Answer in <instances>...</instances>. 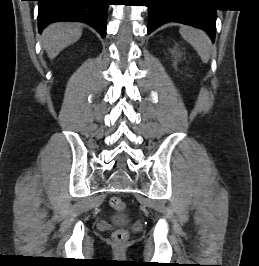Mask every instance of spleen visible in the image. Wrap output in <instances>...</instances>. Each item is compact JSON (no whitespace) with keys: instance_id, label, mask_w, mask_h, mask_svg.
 <instances>
[{"instance_id":"obj_1","label":"spleen","mask_w":259,"mask_h":266,"mask_svg":"<svg viewBox=\"0 0 259 266\" xmlns=\"http://www.w3.org/2000/svg\"><path fill=\"white\" fill-rule=\"evenodd\" d=\"M180 34L197 51L203 63H207L210 58V39L207 34L199 29L188 26L180 28Z\"/></svg>"}]
</instances>
